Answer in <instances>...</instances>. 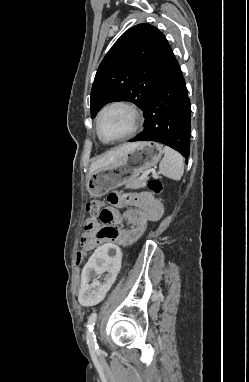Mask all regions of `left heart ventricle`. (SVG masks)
<instances>
[{"label":"left heart ventricle","instance_id":"1","mask_svg":"<svg viewBox=\"0 0 249 382\" xmlns=\"http://www.w3.org/2000/svg\"><path fill=\"white\" fill-rule=\"evenodd\" d=\"M130 129V116L121 108L107 111L100 121V133L105 139H112L127 133Z\"/></svg>","mask_w":249,"mask_h":382}]
</instances>
